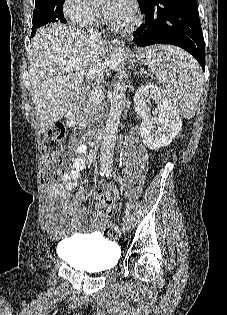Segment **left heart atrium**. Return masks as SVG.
I'll use <instances>...</instances> for the list:
<instances>
[{
  "mask_svg": "<svg viewBox=\"0 0 227 315\" xmlns=\"http://www.w3.org/2000/svg\"><path fill=\"white\" fill-rule=\"evenodd\" d=\"M132 7V0H108L104 12L108 20L116 24L123 20L131 19Z\"/></svg>",
  "mask_w": 227,
  "mask_h": 315,
  "instance_id": "1",
  "label": "left heart atrium"
}]
</instances>
